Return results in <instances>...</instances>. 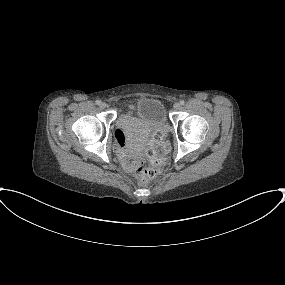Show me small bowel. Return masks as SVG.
<instances>
[{"instance_id":"c3829d8e","label":"small bowel","mask_w":285,"mask_h":285,"mask_svg":"<svg viewBox=\"0 0 285 285\" xmlns=\"http://www.w3.org/2000/svg\"><path fill=\"white\" fill-rule=\"evenodd\" d=\"M120 152H121V155H122L125 159H127V158L131 155V153H130L128 150H125V149L121 150ZM125 165H126V168H127L128 171H130V172L133 171V168H132V167H133L134 163H131V162H129V161H126V162H125Z\"/></svg>"}]
</instances>
